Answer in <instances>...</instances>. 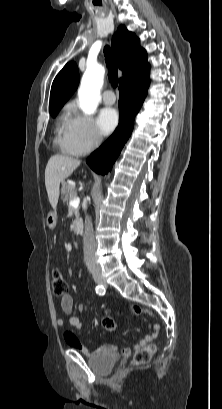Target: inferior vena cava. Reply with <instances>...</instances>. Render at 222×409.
<instances>
[{
  "label": "inferior vena cava",
  "mask_w": 222,
  "mask_h": 409,
  "mask_svg": "<svg viewBox=\"0 0 222 409\" xmlns=\"http://www.w3.org/2000/svg\"><path fill=\"white\" fill-rule=\"evenodd\" d=\"M96 140L100 141L101 136L97 135ZM83 251H84V262L91 272L99 271V265L95 256L96 244L94 239L93 225L91 218L86 215L85 217V233L83 239Z\"/></svg>",
  "instance_id": "inferior-vena-cava-1"
}]
</instances>
